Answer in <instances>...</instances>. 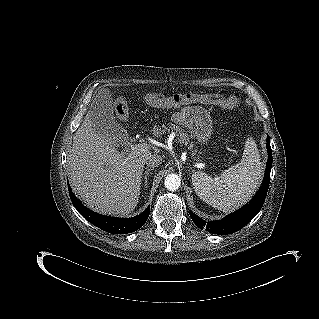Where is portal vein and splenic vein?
I'll return each instance as SVG.
<instances>
[{
  "label": "portal vein and splenic vein",
  "mask_w": 319,
  "mask_h": 319,
  "mask_svg": "<svg viewBox=\"0 0 319 319\" xmlns=\"http://www.w3.org/2000/svg\"><path fill=\"white\" fill-rule=\"evenodd\" d=\"M147 149H148V145L146 143L136 144L132 147L131 153L133 155H137V154H140V153L147 151Z\"/></svg>",
  "instance_id": "18ae733b"
}]
</instances>
